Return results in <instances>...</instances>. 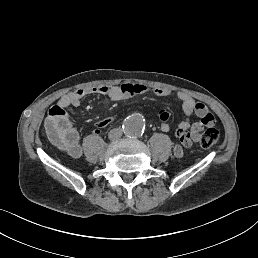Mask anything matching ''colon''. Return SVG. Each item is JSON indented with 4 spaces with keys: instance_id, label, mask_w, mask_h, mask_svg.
Masks as SVG:
<instances>
[{
    "instance_id": "obj_1",
    "label": "colon",
    "mask_w": 258,
    "mask_h": 258,
    "mask_svg": "<svg viewBox=\"0 0 258 258\" xmlns=\"http://www.w3.org/2000/svg\"><path fill=\"white\" fill-rule=\"evenodd\" d=\"M219 139V132L213 128H208L201 136L200 138V145L205 148H211L213 147Z\"/></svg>"
}]
</instances>
